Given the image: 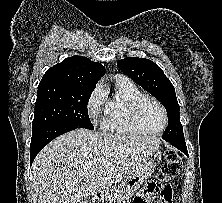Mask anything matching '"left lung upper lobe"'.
Masks as SVG:
<instances>
[{"label": "left lung upper lobe", "instance_id": "left-lung-upper-lobe-1", "mask_svg": "<svg viewBox=\"0 0 222 203\" xmlns=\"http://www.w3.org/2000/svg\"><path fill=\"white\" fill-rule=\"evenodd\" d=\"M117 65L124 74L164 105L168 114V127L162 138L167 142L185 141L175 89L163 70L151 60L137 57H126L119 60Z\"/></svg>", "mask_w": 222, "mask_h": 203}]
</instances>
